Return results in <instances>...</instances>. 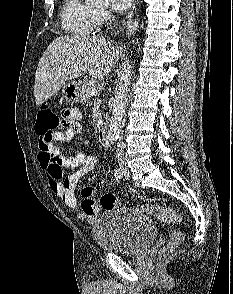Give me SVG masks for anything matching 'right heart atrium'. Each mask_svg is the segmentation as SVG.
Listing matches in <instances>:
<instances>
[{
  "instance_id": "right-heart-atrium-1",
  "label": "right heart atrium",
  "mask_w": 233,
  "mask_h": 294,
  "mask_svg": "<svg viewBox=\"0 0 233 294\" xmlns=\"http://www.w3.org/2000/svg\"><path fill=\"white\" fill-rule=\"evenodd\" d=\"M111 18H112V15L108 10H105V9L95 10L96 26H101L109 22Z\"/></svg>"
}]
</instances>
